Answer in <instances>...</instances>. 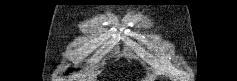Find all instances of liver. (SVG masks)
<instances>
[{"label":"liver","instance_id":"6515ba94","mask_svg":"<svg viewBox=\"0 0 237 81\" xmlns=\"http://www.w3.org/2000/svg\"><path fill=\"white\" fill-rule=\"evenodd\" d=\"M83 78H80V80L79 81H85V80H82Z\"/></svg>","mask_w":237,"mask_h":81}]
</instances>
